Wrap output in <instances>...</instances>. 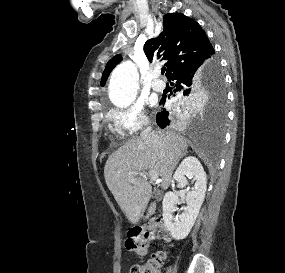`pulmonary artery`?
<instances>
[{
    "label": "pulmonary artery",
    "mask_w": 285,
    "mask_h": 273,
    "mask_svg": "<svg viewBox=\"0 0 285 273\" xmlns=\"http://www.w3.org/2000/svg\"><path fill=\"white\" fill-rule=\"evenodd\" d=\"M152 76H153V81L151 84L152 88L158 92L163 91L166 87V84L162 79H160V70L158 68L154 69Z\"/></svg>",
    "instance_id": "pulmonary-artery-1"
}]
</instances>
